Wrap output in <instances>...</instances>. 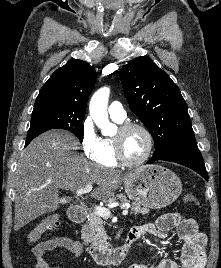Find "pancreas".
<instances>
[{
    "label": "pancreas",
    "instance_id": "cf45deb5",
    "mask_svg": "<svg viewBox=\"0 0 221 268\" xmlns=\"http://www.w3.org/2000/svg\"><path fill=\"white\" fill-rule=\"evenodd\" d=\"M122 201L129 203L126 196L119 194L109 198L106 203L110 204L116 201ZM150 210L145 207H141L137 203H132L131 213L132 214H147ZM104 221L101 216L97 214L96 211H92L88 217V224L82 226L81 237L85 242L90 243L93 247L107 248V235L103 227Z\"/></svg>",
    "mask_w": 221,
    "mask_h": 268
}]
</instances>
